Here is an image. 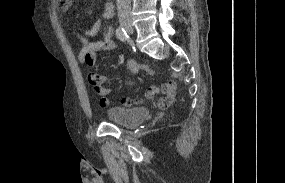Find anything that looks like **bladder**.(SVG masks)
<instances>
[{
	"label": "bladder",
	"mask_w": 285,
	"mask_h": 183,
	"mask_svg": "<svg viewBox=\"0 0 285 183\" xmlns=\"http://www.w3.org/2000/svg\"><path fill=\"white\" fill-rule=\"evenodd\" d=\"M105 114L108 120L113 123L134 126L147 118L148 110L145 107L113 106Z\"/></svg>",
	"instance_id": "31cf9c89"
}]
</instances>
